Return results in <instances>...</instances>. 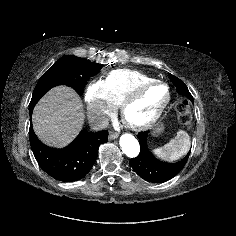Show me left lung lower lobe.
Listing matches in <instances>:
<instances>
[{
    "label": "left lung lower lobe",
    "instance_id": "obj_1",
    "mask_svg": "<svg viewBox=\"0 0 236 236\" xmlns=\"http://www.w3.org/2000/svg\"><path fill=\"white\" fill-rule=\"evenodd\" d=\"M193 102V98H191ZM148 131L137 135L140 144V153L130 160L133 170L148 182L162 183L177 175L185 166L190 151L184 159L176 163H166L157 159L148 149Z\"/></svg>",
    "mask_w": 236,
    "mask_h": 236
}]
</instances>
